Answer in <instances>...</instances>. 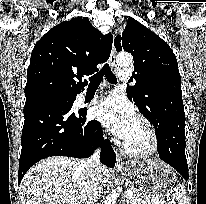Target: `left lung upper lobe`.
Here are the masks:
<instances>
[{
    "instance_id": "5c2ea615",
    "label": "left lung upper lobe",
    "mask_w": 206,
    "mask_h": 204,
    "mask_svg": "<svg viewBox=\"0 0 206 204\" xmlns=\"http://www.w3.org/2000/svg\"><path fill=\"white\" fill-rule=\"evenodd\" d=\"M122 40V42H121ZM117 51L130 52L134 72L127 86V96L156 129L163 133L167 120L184 114L181 76L170 46L144 25L129 17L122 37L116 36Z\"/></svg>"
}]
</instances>
